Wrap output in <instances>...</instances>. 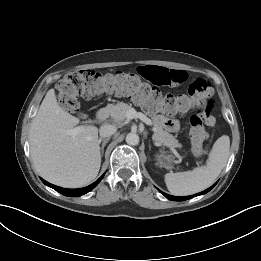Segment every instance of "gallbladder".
Instances as JSON below:
<instances>
[{"instance_id": "gallbladder-1", "label": "gallbladder", "mask_w": 261, "mask_h": 261, "mask_svg": "<svg viewBox=\"0 0 261 261\" xmlns=\"http://www.w3.org/2000/svg\"><path fill=\"white\" fill-rule=\"evenodd\" d=\"M81 118H83L84 116L83 115H80Z\"/></svg>"}]
</instances>
